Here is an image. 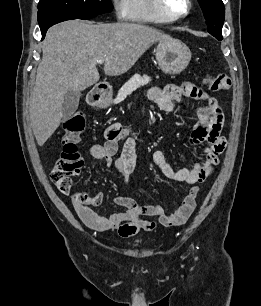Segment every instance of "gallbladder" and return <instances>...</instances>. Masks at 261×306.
I'll list each match as a JSON object with an SVG mask.
<instances>
[{
    "instance_id": "bac80fb5",
    "label": "gallbladder",
    "mask_w": 261,
    "mask_h": 306,
    "mask_svg": "<svg viewBox=\"0 0 261 306\" xmlns=\"http://www.w3.org/2000/svg\"><path fill=\"white\" fill-rule=\"evenodd\" d=\"M81 93L69 91L65 94L62 105V121L68 120L77 110Z\"/></svg>"
}]
</instances>
